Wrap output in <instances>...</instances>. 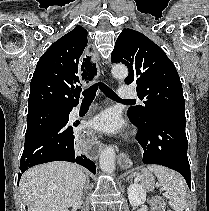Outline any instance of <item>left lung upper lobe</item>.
<instances>
[{
	"mask_svg": "<svg viewBox=\"0 0 209 211\" xmlns=\"http://www.w3.org/2000/svg\"><path fill=\"white\" fill-rule=\"evenodd\" d=\"M113 63L129 69L126 84H136L144 105L130 107L128 114L146 122L162 112H185L182 84L173 62L165 52L142 33L124 29L111 54Z\"/></svg>",
	"mask_w": 209,
	"mask_h": 211,
	"instance_id": "5c2ea615",
	"label": "left lung upper lobe"
}]
</instances>
